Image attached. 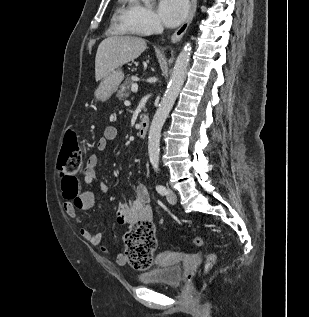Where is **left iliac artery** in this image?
Masks as SVG:
<instances>
[{
    "label": "left iliac artery",
    "instance_id": "44dca946",
    "mask_svg": "<svg viewBox=\"0 0 309 317\" xmlns=\"http://www.w3.org/2000/svg\"><path fill=\"white\" fill-rule=\"evenodd\" d=\"M154 170H155L156 173L158 172L159 168H158L157 165H154ZM156 190L161 195H166V193H167V190H166V188L163 185H157L156 186Z\"/></svg>",
    "mask_w": 309,
    "mask_h": 317
}]
</instances>
